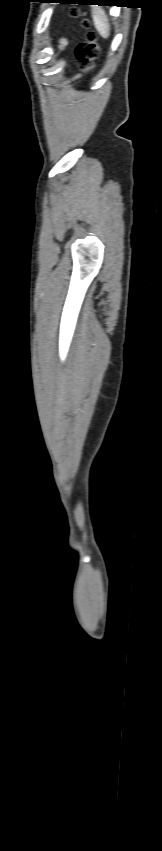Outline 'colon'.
<instances>
[{
	"label": "colon",
	"instance_id": "colon-1",
	"mask_svg": "<svg viewBox=\"0 0 162 851\" xmlns=\"http://www.w3.org/2000/svg\"><path fill=\"white\" fill-rule=\"evenodd\" d=\"M71 16L77 18L81 16V13L78 9H72ZM82 27L86 31L85 40L77 46L75 54L83 71L88 72L94 68L95 60L100 54V48L97 42V35L91 29L90 22L87 19L82 20Z\"/></svg>",
	"mask_w": 162,
	"mask_h": 851
}]
</instances>
